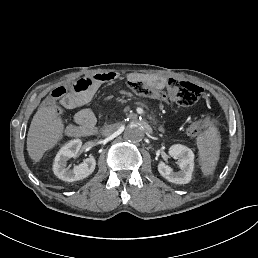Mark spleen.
Returning <instances> with one entry per match:
<instances>
[{
  "mask_svg": "<svg viewBox=\"0 0 258 258\" xmlns=\"http://www.w3.org/2000/svg\"><path fill=\"white\" fill-rule=\"evenodd\" d=\"M197 144L201 156L202 171L206 175L210 174L214 171L219 159V132L212 127L198 136Z\"/></svg>",
  "mask_w": 258,
  "mask_h": 258,
  "instance_id": "spleen-1",
  "label": "spleen"
}]
</instances>
